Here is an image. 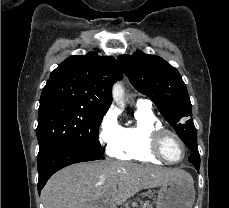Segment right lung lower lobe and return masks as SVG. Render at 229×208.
Instances as JSON below:
<instances>
[{
	"label": "right lung lower lobe",
	"instance_id": "1",
	"mask_svg": "<svg viewBox=\"0 0 229 208\" xmlns=\"http://www.w3.org/2000/svg\"><path fill=\"white\" fill-rule=\"evenodd\" d=\"M104 159L102 153L93 152L75 144L57 146L38 158V192L58 170L79 162Z\"/></svg>",
	"mask_w": 229,
	"mask_h": 208
}]
</instances>
